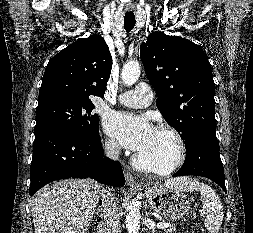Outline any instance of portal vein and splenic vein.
Listing matches in <instances>:
<instances>
[{"instance_id": "1", "label": "portal vein and splenic vein", "mask_w": 253, "mask_h": 233, "mask_svg": "<svg viewBox=\"0 0 253 233\" xmlns=\"http://www.w3.org/2000/svg\"><path fill=\"white\" fill-rule=\"evenodd\" d=\"M158 228H168L170 226H172L171 224L168 223H157L156 225Z\"/></svg>"}]
</instances>
